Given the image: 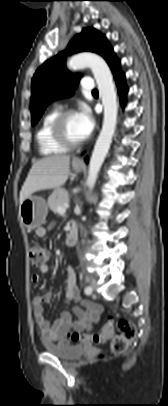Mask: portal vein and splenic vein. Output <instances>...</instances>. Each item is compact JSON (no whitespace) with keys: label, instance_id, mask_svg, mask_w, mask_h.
Listing matches in <instances>:
<instances>
[{"label":"portal vein and splenic vein","instance_id":"portal-vein-and-splenic-vein-1","mask_svg":"<svg viewBox=\"0 0 168 406\" xmlns=\"http://www.w3.org/2000/svg\"><path fill=\"white\" fill-rule=\"evenodd\" d=\"M68 207H69L68 204H65L64 206H60V207H58L57 212L64 214V213L66 212V209H67Z\"/></svg>","mask_w":168,"mask_h":406}]
</instances>
